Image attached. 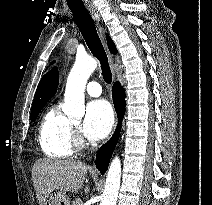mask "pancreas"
I'll return each mask as SVG.
<instances>
[{
	"label": "pancreas",
	"instance_id": "1",
	"mask_svg": "<svg viewBox=\"0 0 212 205\" xmlns=\"http://www.w3.org/2000/svg\"><path fill=\"white\" fill-rule=\"evenodd\" d=\"M72 205H83V202L80 198H77L73 203Z\"/></svg>",
	"mask_w": 212,
	"mask_h": 205
}]
</instances>
